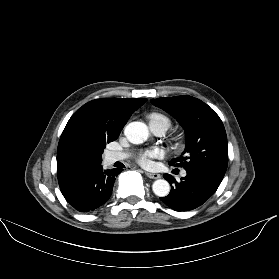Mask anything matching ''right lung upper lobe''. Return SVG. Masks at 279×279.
<instances>
[{
    "label": "right lung upper lobe",
    "instance_id": "right-lung-upper-lobe-1",
    "mask_svg": "<svg viewBox=\"0 0 279 279\" xmlns=\"http://www.w3.org/2000/svg\"><path fill=\"white\" fill-rule=\"evenodd\" d=\"M145 102L146 98H104L79 108L58 144V179L101 165L99 143L116 140L130 116Z\"/></svg>",
    "mask_w": 279,
    "mask_h": 279
}]
</instances>
